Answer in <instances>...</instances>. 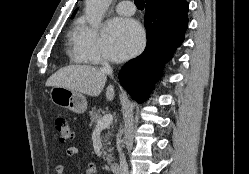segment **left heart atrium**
Here are the masks:
<instances>
[{
	"mask_svg": "<svg viewBox=\"0 0 249 174\" xmlns=\"http://www.w3.org/2000/svg\"><path fill=\"white\" fill-rule=\"evenodd\" d=\"M103 42L106 56L113 61H122L142 49L144 33L135 20L115 18L106 25Z\"/></svg>",
	"mask_w": 249,
	"mask_h": 174,
	"instance_id": "39dd6f15",
	"label": "left heart atrium"
}]
</instances>
